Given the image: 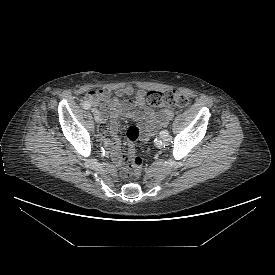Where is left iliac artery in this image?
Listing matches in <instances>:
<instances>
[{
	"label": "left iliac artery",
	"mask_w": 275,
	"mask_h": 275,
	"mask_svg": "<svg viewBox=\"0 0 275 275\" xmlns=\"http://www.w3.org/2000/svg\"><path fill=\"white\" fill-rule=\"evenodd\" d=\"M169 135V132L167 130H163L160 132V137H164V136H168Z\"/></svg>",
	"instance_id": "1"
}]
</instances>
